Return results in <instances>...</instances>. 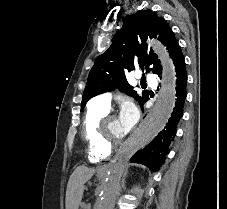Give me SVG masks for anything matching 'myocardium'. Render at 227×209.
I'll use <instances>...</instances> for the list:
<instances>
[{"mask_svg": "<svg viewBox=\"0 0 227 209\" xmlns=\"http://www.w3.org/2000/svg\"><path fill=\"white\" fill-rule=\"evenodd\" d=\"M117 118L115 114L107 113L97 125V137L103 146L109 149L117 148L126 142V139L111 140L105 134V127L111 120Z\"/></svg>", "mask_w": 227, "mask_h": 209, "instance_id": "myocardium-1", "label": "myocardium"}]
</instances>
